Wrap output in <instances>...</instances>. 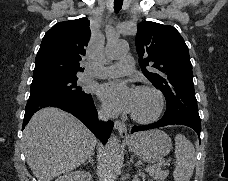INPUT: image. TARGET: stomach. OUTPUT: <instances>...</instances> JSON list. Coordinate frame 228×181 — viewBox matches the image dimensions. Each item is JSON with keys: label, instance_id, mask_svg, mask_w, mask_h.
I'll use <instances>...</instances> for the list:
<instances>
[{"label": "stomach", "instance_id": "0dacf381", "mask_svg": "<svg viewBox=\"0 0 228 181\" xmlns=\"http://www.w3.org/2000/svg\"><path fill=\"white\" fill-rule=\"evenodd\" d=\"M127 145L139 159L146 163H157L172 149L170 137L163 131H146V133H135L126 139Z\"/></svg>", "mask_w": 228, "mask_h": 181}]
</instances>
